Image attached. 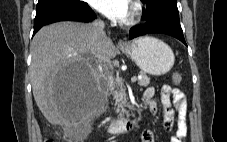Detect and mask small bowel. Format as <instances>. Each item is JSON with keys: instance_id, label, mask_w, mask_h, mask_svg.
<instances>
[{"instance_id": "small-bowel-1", "label": "small bowel", "mask_w": 227, "mask_h": 142, "mask_svg": "<svg viewBox=\"0 0 227 142\" xmlns=\"http://www.w3.org/2000/svg\"><path fill=\"white\" fill-rule=\"evenodd\" d=\"M155 95V89L152 87L147 88L143 93V102L148 107L150 112L155 115L157 113V103L153 99ZM171 96H173L174 106L177 110V130L175 135L171 138V142H184L187 135V121H186V99L184 94L176 88H172L169 85L162 86L160 90V99L163 107V127L170 131L174 125L175 111L172 108ZM143 142H154L153 134L150 130H144L142 132Z\"/></svg>"}]
</instances>
